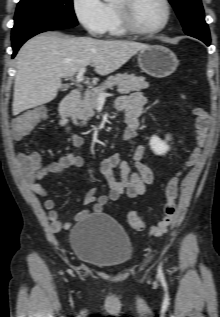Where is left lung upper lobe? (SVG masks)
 I'll return each mask as SVG.
<instances>
[{
  "label": "left lung upper lobe",
  "mask_w": 220,
  "mask_h": 317,
  "mask_svg": "<svg viewBox=\"0 0 220 317\" xmlns=\"http://www.w3.org/2000/svg\"><path fill=\"white\" fill-rule=\"evenodd\" d=\"M174 7L185 33L197 32L209 34L207 23L204 20V11L201 0H169Z\"/></svg>",
  "instance_id": "5c2ea615"
}]
</instances>
